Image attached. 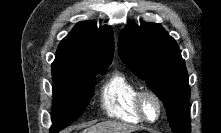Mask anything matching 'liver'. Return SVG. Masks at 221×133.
Returning <instances> with one entry per match:
<instances>
[{"instance_id":"1","label":"liver","mask_w":221,"mask_h":133,"mask_svg":"<svg viewBox=\"0 0 221 133\" xmlns=\"http://www.w3.org/2000/svg\"><path fill=\"white\" fill-rule=\"evenodd\" d=\"M135 127L119 122H102L84 129L81 133H132Z\"/></svg>"}]
</instances>
